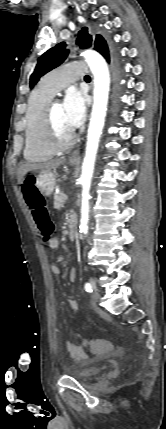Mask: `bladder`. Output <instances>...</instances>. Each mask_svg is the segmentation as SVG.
Segmentation results:
<instances>
[{"label": "bladder", "instance_id": "obj_1", "mask_svg": "<svg viewBox=\"0 0 166 429\" xmlns=\"http://www.w3.org/2000/svg\"><path fill=\"white\" fill-rule=\"evenodd\" d=\"M103 369V365L87 366L78 370H73L69 374L78 380L85 381L97 377Z\"/></svg>", "mask_w": 166, "mask_h": 429}]
</instances>
